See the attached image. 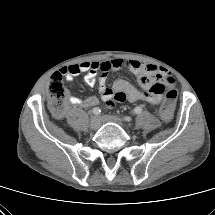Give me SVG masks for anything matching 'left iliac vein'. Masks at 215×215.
<instances>
[{"mask_svg": "<svg viewBox=\"0 0 215 215\" xmlns=\"http://www.w3.org/2000/svg\"><path fill=\"white\" fill-rule=\"evenodd\" d=\"M100 120L102 122L116 123V124H118L120 126H124L125 125L124 121L121 118H119L117 116H113V115H103V116L100 117Z\"/></svg>", "mask_w": 215, "mask_h": 215, "instance_id": "left-iliac-vein-1", "label": "left iliac vein"}]
</instances>
